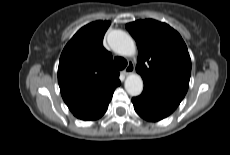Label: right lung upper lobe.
Instances as JSON below:
<instances>
[{
	"label": "right lung upper lobe",
	"instance_id": "cb5924a9",
	"mask_svg": "<svg viewBox=\"0 0 230 155\" xmlns=\"http://www.w3.org/2000/svg\"><path fill=\"white\" fill-rule=\"evenodd\" d=\"M109 21H95L82 27L60 56L58 83L62 98L79 119L101 112L120 85L112 55L103 47Z\"/></svg>",
	"mask_w": 230,
	"mask_h": 155
}]
</instances>
